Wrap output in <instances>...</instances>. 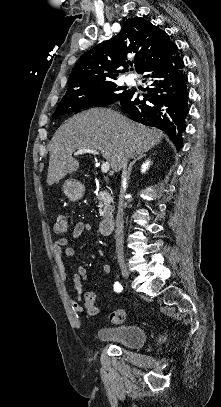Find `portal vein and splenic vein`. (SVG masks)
Segmentation results:
<instances>
[{"mask_svg": "<svg viewBox=\"0 0 221 407\" xmlns=\"http://www.w3.org/2000/svg\"><path fill=\"white\" fill-rule=\"evenodd\" d=\"M85 153H91L94 155H98L99 153L97 152V150L95 149H79L75 152V155H81V154H85ZM110 169V163L108 161H105L102 163L101 165V171L103 173H107Z\"/></svg>", "mask_w": 221, "mask_h": 407, "instance_id": "obj_1", "label": "portal vein and splenic vein"}]
</instances>
